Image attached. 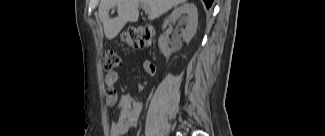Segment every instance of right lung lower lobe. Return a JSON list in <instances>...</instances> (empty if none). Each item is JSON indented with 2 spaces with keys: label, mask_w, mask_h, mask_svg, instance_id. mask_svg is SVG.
<instances>
[{
  "label": "right lung lower lobe",
  "mask_w": 325,
  "mask_h": 136,
  "mask_svg": "<svg viewBox=\"0 0 325 136\" xmlns=\"http://www.w3.org/2000/svg\"><path fill=\"white\" fill-rule=\"evenodd\" d=\"M205 4H206V7L207 9H209V7L212 5L213 3V0H204Z\"/></svg>",
  "instance_id": "obj_1"
}]
</instances>
